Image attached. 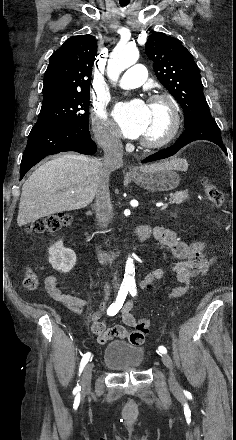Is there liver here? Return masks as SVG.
I'll return each mask as SVG.
<instances>
[{"instance_id":"1","label":"liver","mask_w":236,"mask_h":440,"mask_svg":"<svg viewBox=\"0 0 236 440\" xmlns=\"http://www.w3.org/2000/svg\"><path fill=\"white\" fill-rule=\"evenodd\" d=\"M159 167L179 169L181 160L145 165L140 170ZM103 178V163L96 158L64 154L44 163L22 186L18 225L24 226L42 217L88 206Z\"/></svg>"}]
</instances>
